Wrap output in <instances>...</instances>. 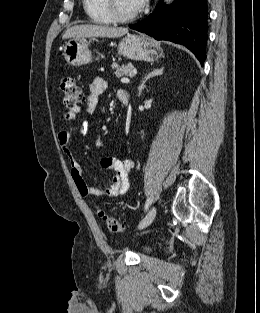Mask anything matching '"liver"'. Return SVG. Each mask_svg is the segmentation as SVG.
I'll list each match as a JSON object with an SVG mask.
<instances>
[{
	"mask_svg": "<svg viewBox=\"0 0 260 313\" xmlns=\"http://www.w3.org/2000/svg\"><path fill=\"white\" fill-rule=\"evenodd\" d=\"M128 33L127 28L122 27H109L105 25H92L82 24L75 25L67 29L63 35L64 39L67 38H87V37H108L115 38L121 37Z\"/></svg>",
	"mask_w": 260,
	"mask_h": 313,
	"instance_id": "liver-1",
	"label": "liver"
}]
</instances>
